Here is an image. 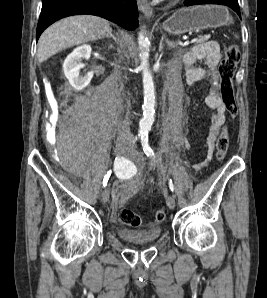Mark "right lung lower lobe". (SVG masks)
<instances>
[{
  "label": "right lung lower lobe",
  "mask_w": 267,
  "mask_h": 298,
  "mask_svg": "<svg viewBox=\"0 0 267 298\" xmlns=\"http://www.w3.org/2000/svg\"><path fill=\"white\" fill-rule=\"evenodd\" d=\"M77 14L100 16L128 30L138 25L136 0H42L36 40L55 21Z\"/></svg>",
  "instance_id": "98d812e1"
}]
</instances>
